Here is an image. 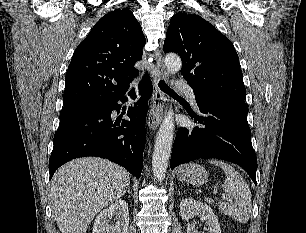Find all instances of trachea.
<instances>
[{
	"label": "trachea",
	"mask_w": 306,
	"mask_h": 233,
	"mask_svg": "<svg viewBox=\"0 0 306 233\" xmlns=\"http://www.w3.org/2000/svg\"><path fill=\"white\" fill-rule=\"evenodd\" d=\"M158 86H159L160 89H161L162 91H164L165 93L173 94V95L176 94L172 89H170V88L166 85V83H165L163 80H160V81H159ZM131 91H133V89H132Z\"/></svg>",
	"instance_id": "3493384b"
}]
</instances>
